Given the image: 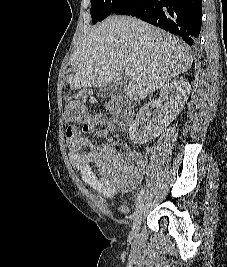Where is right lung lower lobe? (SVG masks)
<instances>
[{
	"mask_svg": "<svg viewBox=\"0 0 227 267\" xmlns=\"http://www.w3.org/2000/svg\"><path fill=\"white\" fill-rule=\"evenodd\" d=\"M115 14L136 16L193 45L201 30L202 0H128Z\"/></svg>",
	"mask_w": 227,
	"mask_h": 267,
	"instance_id": "right-lung-lower-lobe-1",
	"label": "right lung lower lobe"
}]
</instances>
